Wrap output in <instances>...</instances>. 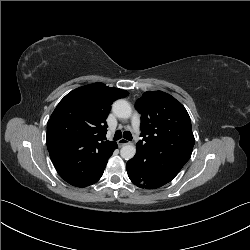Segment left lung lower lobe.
<instances>
[{
  "instance_id": "0a47b994",
  "label": "left lung lower lobe",
  "mask_w": 250,
  "mask_h": 250,
  "mask_svg": "<svg viewBox=\"0 0 250 250\" xmlns=\"http://www.w3.org/2000/svg\"><path fill=\"white\" fill-rule=\"evenodd\" d=\"M130 180L140 188L155 189L170 182L181 169L168 164L153 162L142 150L127 162Z\"/></svg>"
}]
</instances>
